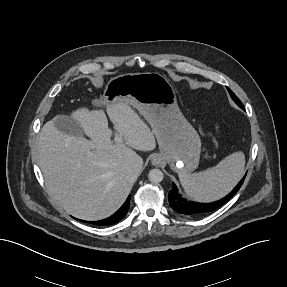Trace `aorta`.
Listing matches in <instances>:
<instances>
[{"mask_svg":"<svg viewBox=\"0 0 287 287\" xmlns=\"http://www.w3.org/2000/svg\"><path fill=\"white\" fill-rule=\"evenodd\" d=\"M148 178L152 183H159L163 180V172L160 169H152L149 171Z\"/></svg>","mask_w":287,"mask_h":287,"instance_id":"obj_1","label":"aorta"}]
</instances>
